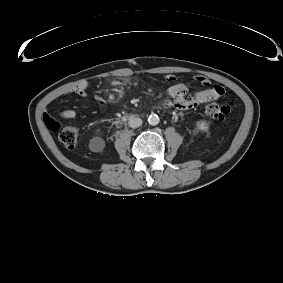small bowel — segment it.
I'll return each instance as SVG.
<instances>
[{"label":"small bowel","mask_w":283,"mask_h":283,"mask_svg":"<svg viewBox=\"0 0 283 283\" xmlns=\"http://www.w3.org/2000/svg\"><path fill=\"white\" fill-rule=\"evenodd\" d=\"M194 81L203 86L204 89L191 93L187 85L176 82L174 75H166L164 82L169 84V87L163 97V106H173L179 110H190L225 96V90L222 86L212 85L211 81L204 76L198 75L194 77ZM88 86L87 81H82L73 89V92L81 97H85ZM76 115L77 113L74 109H65L60 113L62 119H74ZM44 122L50 130L59 128V123L47 114L44 116Z\"/></svg>","instance_id":"small-bowel-1"}]
</instances>
